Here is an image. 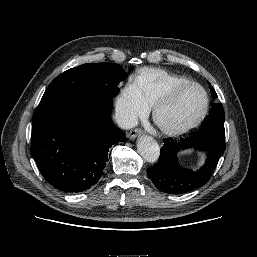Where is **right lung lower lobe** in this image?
Wrapping results in <instances>:
<instances>
[{"label":"right lung lower lobe","mask_w":257,"mask_h":257,"mask_svg":"<svg viewBox=\"0 0 257 257\" xmlns=\"http://www.w3.org/2000/svg\"><path fill=\"white\" fill-rule=\"evenodd\" d=\"M113 99L64 95L41 101L32 118L31 155L46 181L65 192L102 176L110 147L126 139L111 120Z\"/></svg>","instance_id":"right-lung-lower-lobe-1"}]
</instances>
